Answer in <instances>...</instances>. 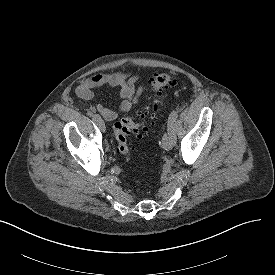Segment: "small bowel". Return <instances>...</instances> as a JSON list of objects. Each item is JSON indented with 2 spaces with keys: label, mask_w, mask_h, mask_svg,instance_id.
I'll use <instances>...</instances> for the list:
<instances>
[{
  "label": "small bowel",
  "mask_w": 275,
  "mask_h": 275,
  "mask_svg": "<svg viewBox=\"0 0 275 275\" xmlns=\"http://www.w3.org/2000/svg\"><path fill=\"white\" fill-rule=\"evenodd\" d=\"M102 86L119 88L120 103L117 110L120 112L131 110L143 93L139 77L114 72L96 74L83 80L76 88L75 94L82 100H90L94 95L93 90ZM117 110L96 104L90 108L89 112L90 114L98 112L106 121L111 122L117 119Z\"/></svg>",
  "instance_id": "1"
}]
</instances>
